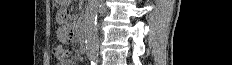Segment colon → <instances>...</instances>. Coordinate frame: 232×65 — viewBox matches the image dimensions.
I'll return each mask as SVG.
<instances>
[{
  "instance_id": "1",
  "label": "colon",
  "mask_w": 232,
  "mask_h": 65,
  "mask_svg": "<svg viewBox=\"0 0 232 65\" xmlns=\"http://www.w3.org/2000/svg\"><path fill=\"white\" fill-rule=\"evenodd\" d=\"M68 54L69 52L64 45L58 44L54 47V56L58 64L66 61Z\"/></svg>"
}]
</instances>
